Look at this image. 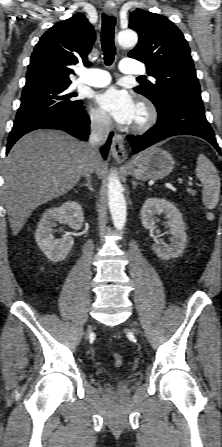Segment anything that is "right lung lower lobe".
<instances>
[{
  "label": "right lung lower lobe",
  "instance_id": "obj_1",
  "mask_svg": "<svg viewBox=\"0 0 222 447\" xmlns=\"http://www.w3.org/2000/svg\"><path fill=\"white\" fill-rule=\"evenodd\" d=\"M90 119L85 113L82 104L78 106H69L57 109L43 115L15 120L12 131L10 132L7 151L11 149L14 143L24 134L37 129H58L71 134L81 140H87L89 135ZM112 133L108 141L101 148L104 158L107 157Z\"/></svg>",
  "mask_w": 222,
  "mask_h": 447
}]
</instances>
